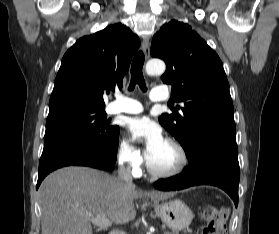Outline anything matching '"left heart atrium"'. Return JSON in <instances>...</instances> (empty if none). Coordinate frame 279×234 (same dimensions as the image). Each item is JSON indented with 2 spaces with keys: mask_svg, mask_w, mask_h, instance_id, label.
<instances>
[{
  "mask_svg": "<svg viewBox=\"0 0 279 234\" xmlns=\"http://www.w3.org/2000/svg\"><path fill=\"white\" fill-rule=\"evenodd\" d=\"M127 127L134 139L143 141L147 157L165 141L161 127L147 117L131 119Z\"/></svg>",
  "mask_w": 279,
  "mask_h": 234,
  "instance_id": "obj_1",
  "label": "left heart atrium"
}]
</instances>
